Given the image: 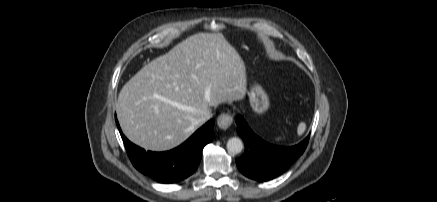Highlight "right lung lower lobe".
<instances>
[{
  "mask_svg": "<svg viewBox=\"0 0 437 202\" xmlns=\"http://www.w3.org/2000/svg\"><path fill=\"white\" fill-rule=\"evenodd\" d=\"M115 120L134 167L160 183H178L191 176L198 168L204 146L213 140L212 119L177 148L166 152H146L123 135L117 118Z\"/></svg>",
  "mask_w": 437,
  "mask_h": 202,
  "instance_id": "1",
  "label": "right lung lower lobe"
}]
</instances>
